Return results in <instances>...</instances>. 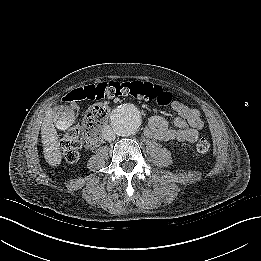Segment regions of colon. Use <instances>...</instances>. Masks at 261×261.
Instances as JSON below:
<instances>
[{
  "mask_svg": "<svg viewBox=\"0 0 261 261\" xmlns=\"http://www.w3.org/2000/svg\"><path fill=\"white\" fill-rule=\"evenodd\" d=\"M131 96L136 99L154 100L161 105L171 101V94L161 86L144 81H109L96 85H89L70 92L66 104L74 106L78 102L88 99L97 101L92 105L85 116L86 133L81 140V130L78 126L69 128L61 141V150L64 159L69 163H76L80 157V149L84 143L88 147L94 146L99 139L100 128L106 123L109 108L102 101L116 97ZM196 148L199 152H207L210 148L209 141L202 137L198 140Z\"/></svg>",
  "mask_w": 261,
  "mask_h": 261,
  "instance_id": "colon-1",
  "label": "colon"
}]
</instances>
